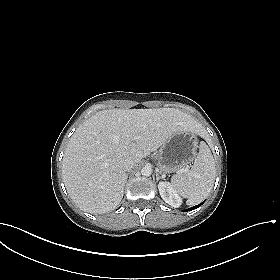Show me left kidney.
Here are the masks:
<instances>
[{
    "label": "left kidney",
    "instance_id": "obj_1",
    "mask_svg": "<svg viewBox=\"0 0 280 280\" xmlns=\"http://www.w3.org/2000/svg\"><path fill=\"white\" fill-rule=\"evenodd\" d=\"M159 193L162 199L172 207H179L182 203L176 189L169 182H160L158 184Z\"/></svg>",
    "mask_w": 280,
    "mask_h": 280
}]
</instances>
